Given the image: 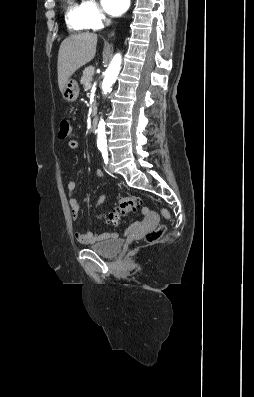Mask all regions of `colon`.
Listing matches in <instances>:
<instances>
[{"mask_svg":"<svg viewBox=\"0 0 254 397\" xmlns=\"http://www.w3.org/2000/svg\"><path fill=\"white\" fill-rule=\"evenodd\" d=\"M71 126L68 120L62 119L59 124V137L65 139L70 135ZM141 205V200L137 197H122L119 201L116 210L108 215V220L111 222H117L119 218L125 214L137 210ZM162 215L166 218L170 217L169 212L166 209L162 210ZM165 232V226H160L156 230L147 233L145 239L147 242H155Z\"/></svg>","mask_w":254,"mask_h":397,"instance_id":"obj_1","label":"colon"}]
</instances>
